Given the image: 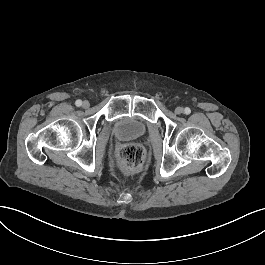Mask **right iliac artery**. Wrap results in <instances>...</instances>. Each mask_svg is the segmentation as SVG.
Here are the masks:
<instances>
[{"label":"right iliac artery","mask_w":265,"mask_h":265,"mask_svg":"<svg viewBox=\"0 0 265 265\" xmlns=\"http://www.w3.org/2000/svg\"><path fill=\"white\" fill-rule=\"evenodd\" d=\"M75 104H76L77 107H80L82 105V101L81 100H77L75 102Z\"/></svg>","instance_id":"right-iliac-artery-1"}]
</instances>
